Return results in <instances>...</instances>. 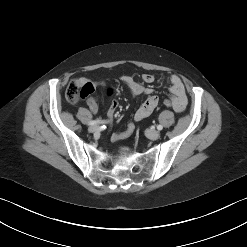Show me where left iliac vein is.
<instances>
[{
	"mask_svg": "<svg viewBox=\"0 0 247 247\" xmlns=\"http://www.w3.org/2000/svg\"><path fill=\"white\" fill-rule=\"evenodd\" d=\"M146 135L149 139L156 140L160 137V132L156 130H147Z\"/></svg>",
	"mask_w": 247,
	"mask_h": 247,
	"instance_id": "left-iliac-vein-1",
	"label": "left iliac vein"
}]
</instances>
